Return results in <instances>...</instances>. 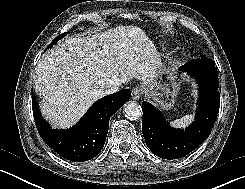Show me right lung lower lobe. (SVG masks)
Here are the masks:
<instances>
[{
  "instance_id": "right-lung-lower-lobe-1",
  "label": "right lung lower lobe",
  "mask_w": 245,
  "mask_h": 189,
  "mask_svg": "<svg viewBox=\"0 0 245 189\" xmlns=\"http://www.w3.org/2000/svg\"><path fill=\"white\" fill-rule=\"evenodd\" d=\"M131 97L129 89L120 90L96 101L68 130L52 129L43 119L38 103L32 95V109L38 132L51 149L63 158L74 161H88L98 155L105 144L110 117Z\"/></svg>"
}]
</instances>
